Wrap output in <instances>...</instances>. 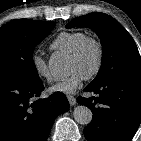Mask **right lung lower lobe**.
I'll list each match as a JSON object with an SVG mask.
<instances>
[{
  "mask_svg": "<svg viewBox=\"0 0 141 141\" xmlns=\"http://www.w3.org/2000/svg\"><path fill=\"white\" fill-rule=\"evenodd\" d=\"M43 89L40 78L0 80V141H46L55 118L69 103L61 92L32 102Z\"/></svg>",
  "mask_w": 141,
  "mask_h": 141,
  "instance_id": "right-lung-lower-lobe-1",
  "label": "right lung lower lobe"
}]
</instances>
